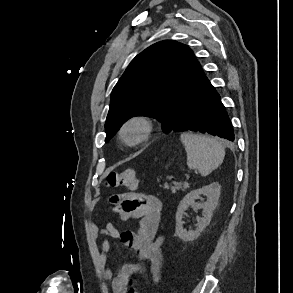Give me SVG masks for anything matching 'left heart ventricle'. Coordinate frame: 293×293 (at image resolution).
<instances>
[{
	"instance_id": "b2bd125f",
	"label": "left heart ventricle",
	"mask_w": 293,
	"mask_h": 293,
	"mask_svg": "<svg viewBox=\"0 0 293 293\" xmlns=\"http://www.w3.org/2000/svg\"><path fill=\"white\" fill-rule=\"evenodd\" d=\"M141 135V128L137 125L130 126L125 133V137L128 141H134Z\"/></svg>"
}]
</instances>
